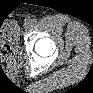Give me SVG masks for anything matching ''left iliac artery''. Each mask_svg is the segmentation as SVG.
I'll return each mask as SVG.
<instances>
[{
	"label": "left iliac artery",
	"instance_id": "44dca946",
	"mask_svg": "<svg viewBox=\"0 0 93 93\" xmlns=\"http://www.w3.org/2000/svg\"><path fill=\"white\" fill-rule=\"evenodd\" d=\"M31 22H32L33 24H35V23H37V19L33 18V19L31 20Z\"/></svg>",
	"mask_w": 93,
	"mask_h": 93
}]
</instances>
